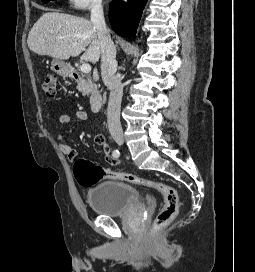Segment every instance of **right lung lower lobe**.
Here are the masks:
<instances>
[{
    "label": "right lung lower lobe",
    "mask_w": 255,
    "mask_h": 272,
    "mask_svg": "<svg viewBox=\"0 0 255 272\" xmlns=\"http://www.w3.org/2000/svg\"><path fill=\"white\" fill-rule=\"evenodd\" d=\"M146 2L147 0H113L109 7L113 30L124 37H135Z\"/></svg>",
    "instance_id": "right-lung-lower-lobe-1"
}]
</instances>
